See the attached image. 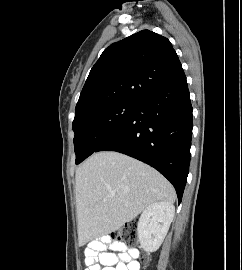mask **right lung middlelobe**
I'll use <instances>...</instances> for the list:
<instances>
[{"label":"right lung middle lobe","instance_id":"dd1d6c3e","mask_svg":"<svg viewBox=\"0 0 242 270\" xmlns=\"http://www.w3.org/2000/svg\"><path fill=\"white\" fill-rule=\"evenodd\" d=\"M136 101L118 100L106 103L75 116L74 150L79 164L112 136L124 123Z\"/></svg>","mask_w":242,"mask_h":270}]
</instances>
